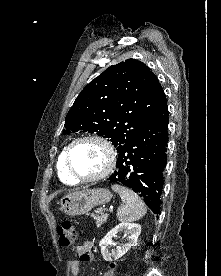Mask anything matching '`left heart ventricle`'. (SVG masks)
Masks as SVG:
<instances>
[{
	"instance_id": "obj_1",
	"label": "left heart ventricle",
	"mask_w": 221,
	"mask_h": 276,
	"mask_svg": "<svg viewBox=\"0 0 221 276\" xmlns=\"http://www.w3.org/2000/svg\"><path fill=\"white\" fill-rule=\"evenodd\" d=\"M71 166L80 176H94L106 165L105 149L94 141H84L76 144L71 151Z\"/></svg>"
}]
</instances>
